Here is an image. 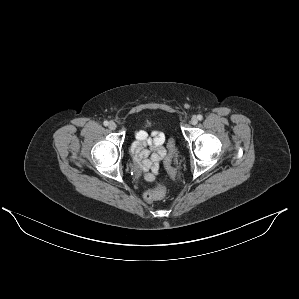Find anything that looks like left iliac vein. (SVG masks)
<instances>
[{"mask_svg":"<svg viewBox=\"0 0 299 299\" xmlns=\"http://www.w3.org/2000/svg\"><path fill=\"white\" fill-rule=\"evenodd\" d=\"M198 123V118L196 117V116H193L192 118H191V124L192 125H196Z\"/></svg>","mask_w":299,"mask_h":299,"instance_id":"left-iliac-vein-1","label":"left iliac vein"}]
</instances>
